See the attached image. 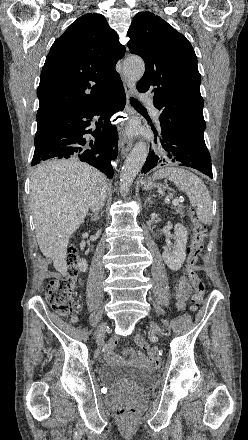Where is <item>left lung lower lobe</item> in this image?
I'll return each mask as SVG.
<instances>
[{
    "label": "left lung lower lobe",
    "instance_id": "1",
    "mask_svg": "<svg viewBox=\"0 0 248 440\" xmlns=\"http://www.w3.org/2000/svg\"><path fill=\"white\" fill-rule=\"evenodd\" d=\"M162 129L161 144L165 153L161 156L151 152L145 162L142 173H147L157 165L168 162L179 163L180 166L191 167L213 178L211 159L204 138L197 137L183 129L160 123Z\"/></svg>",
    "mask_w": 248,
    "mask_h": 440
}]
</instances>
